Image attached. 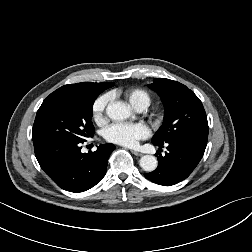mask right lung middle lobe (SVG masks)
Segmentation results:
<instances>
[{
  "label": "right lung middle lobe",
  "instance_id": "right-lung-middle-lobe-1",
  "mask_svg": "<svg viewBox=\"0 0 252 252\" xmlns=\"http://www.w3.org/2000/svg\"><path fill=\"white\" fill-rule=\"evenodd\" d=\"M97 96L57 89L37 111L33 125V142L65 140L84 142L94 135L92 107Z\"/></svg>",
  "mask_w": 252,
  "mask_h": 252
}]
</instances>
